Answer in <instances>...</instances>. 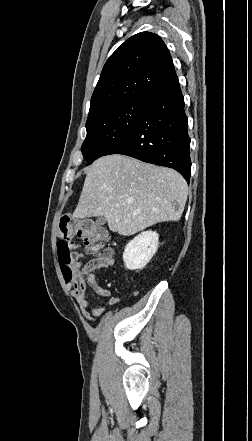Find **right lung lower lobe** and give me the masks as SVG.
<instances>
[{
    "mask_svg": "<svg viewBox=\"0 0 252 441\" xmlns=\"http://www.w3.org/2000/svg\"><path fill=\"white\" fill-rule=\"evenodd\" d=\"M143 112L133 129L106 155L123 154L177 170L189 183L190 138L177 75L142 98Z\"/></svg>",
    "mask_w": 252,
    "mask_h": 441,
    "instance_id": "right-lung-lower-lobe-1",
    "label": "right lung lower lobe"
}]
</instances>
